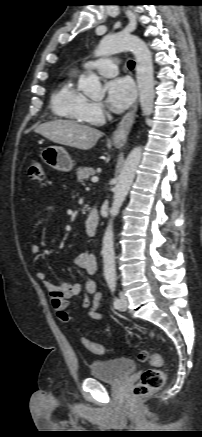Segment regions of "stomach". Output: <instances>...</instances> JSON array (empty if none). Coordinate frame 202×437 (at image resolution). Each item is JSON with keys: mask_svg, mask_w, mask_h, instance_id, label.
Here are the masks:
<instances>
[{"mask_svg": "<svg viewBox=\"0 0 202 437\" xmlns=\"http://www.w3.org/2000/svg\"><path fill=\"white\" fill-rule=\"evenodd\" d=\"M40 157L45 164L58 171L69 172L73 168V160L63 147L48 146L41 151Z\"/></svg>", "mask_w": 202, "mask_h": 437, "instance_id": "obj_1", "label": "stomach"}]
</instances>
